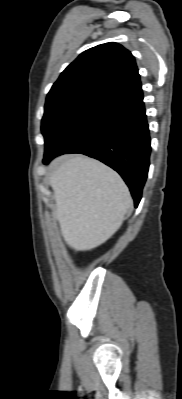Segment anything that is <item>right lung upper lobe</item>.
<instances>
[{"label":"right lung upper lobe","mask_w":182,"mask_h":399,"mask_svg":"<svg viewBox=\"0 0 182 399\" xmlns=\"http://www.w3.org/2000/svg\"><path fill=\"white\" fill-rule=\"evenodd\" d=\"M141 88L133 55L118 43H105L80 54L60 75L47 99L86 94L108 100Z\"/></svg>","instance_id":"cb5924a9"}]
</instances>
